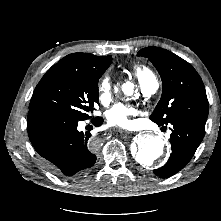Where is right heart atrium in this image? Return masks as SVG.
<instances>
[{
  "label": "right heart atrium",
  "mask_w": 221,
  "mask_h": 221,
  "mask_svg": "<svg viewBox=\"0 0 221 221\" xmlns=\"http://www.w3.org/2000/svg\"><path fill=\"white\" fill-rule=\"evenodd\" d=\"M111 88L110 75L105 74L99 83V94L102 102L107 101L110 98Z\"/></svg>",
  "instance_id": "d8ad5b80"
}]
</instances>
